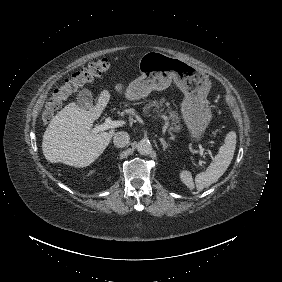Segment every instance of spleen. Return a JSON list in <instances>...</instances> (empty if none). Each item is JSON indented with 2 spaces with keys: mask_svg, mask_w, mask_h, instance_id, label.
Instances as JSON below:
<instances>
[{
  "mask_svg": "<svg viewBox=\"0 0 282 282\" xmlns=\"http://www.w3.org/2000/svg\"><path fill=\"white\" fill-rule=\"evenodd\" d=\"M236 148V132L230 131L226 134L224 144L220 147L218 154L214 156L213 162L207 167L205 172H200L195 177L196 187L202 190L218 180L228 168L234 156ZM182 180L192 189L194 184L190 172L181 173Z\"/></svg>",
  "mask_w": 282,
  "mask_h": 282,
  "instance_id": "1",
  "label": "spleen"
}]
</instances>
